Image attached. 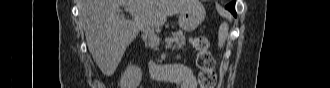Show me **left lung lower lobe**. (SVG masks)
Wrapping results in <instances>:
<instances>
[{
	"label": "left lung lower lobe",
	"mask_w": 330,
	"mask_h": 88,
	"mask_svg": "<svg viewBox=\"0 0 330 88\" xmlns=\"http://www.w3.org/2000/svg\"><path fill=\"white\" fill-rule=\"evenodd\" d=\"M226 8H227L231 13H233L234 16H236V12H235V3H234V2L228 4V5L226 6Z\"/></svg>",
	"instance_id": "left-lung-lower-lobe-1"
}]
</instances>
